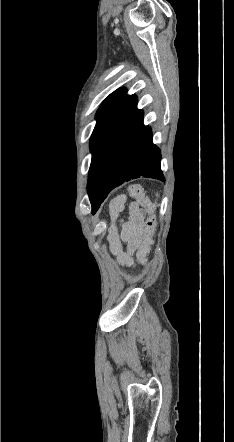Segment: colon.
I'll use <instances>...</instances> for the list:
<instances>
[{
    "label": "colon",
    "instance_id": "obj_1",
    "mask_svg": "<svg viewBox=\"0 0 234 442\" xmlns=\"http://www.w3.org/2000/svg\"><path fill=\"white\" fill-rule=\"evenodd\" d=\"M128 191L149 214V218L147 219L145 226L143 245L141 247L140 254L137 256L140 266L145 268L150 262V259L148 256H145V254L147 253L149 245L151 244L153 231L156 226L155 204L150 200L143 187L139 184L129 185Z\"/></svg>",
    "mask_w": 234,
    "mask_h": 442
}]
</instances>
